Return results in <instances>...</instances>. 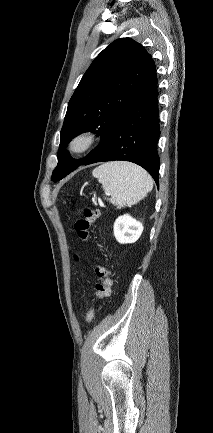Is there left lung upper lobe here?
Masks as SVG:
<instances>
[{
	"instance_id": "obj_1",
	"label": "left lung upper lobe",
	"mask_w": 213,
	"mask_h": 433,
	"mask_svg": "<svg viewBox=\"0 0 213 433\" xmlns=\"http://www.w3.org/2000/svg\"><path fill=\"white\" fill-rule=\"evenodd\" d=\"M154 69L151 55L130 38L115 40L94 59L69 101L52 181L85 164L100 149L118 117ZM88 131L101 135V142L76 161L63 150L64 146L74 136Z\"/></svg>"
}]
</instances>
